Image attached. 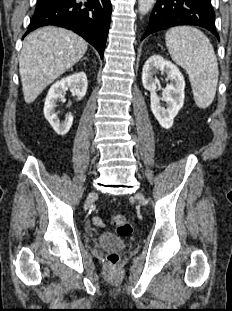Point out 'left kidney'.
Masks as SVG:
<instances>
[{
	"instance_id": "1",
	"label": "left kidney",
	"mask_w": 232,
	"mask_h": 311,
	"mask_svg": "<svg viewBox=\"0 0 232 311\" xmlns=\"http://www.w3.org/2000/svg\"><path fill=\"white\" fill-rule=\"evenodd\" d=\"M167 74L170 83L163 90V100L166 107L160 103V98L156 93L157 78L156 73ZM142 84L150 91L151 110L159 124L169 129L173 125V120L184 104L185 80L179 68L164 59L160 55H153L148 58L142 70Z\"/></svg>"
}]
</instances>
